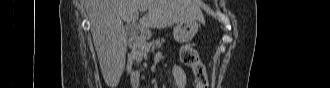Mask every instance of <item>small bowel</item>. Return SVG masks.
<instances>
[{"instance_id":"1","label":"small bowel","mask_w":330,"mask_h":88,"mask_svg":"<svg viewBox=\"0 0 330 88\" xmlns=\"http://www.w3.org/2000/svg\"><path fill=\"white\" fill-rule=\"evenodd\" d=\"M172 76H173L174 84L177 88L186 87V82H187L186 74L180 66H173Z\"/></svg>"}]
</instances>
